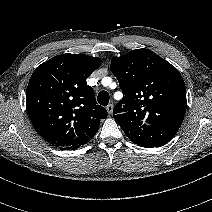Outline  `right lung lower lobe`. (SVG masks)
Segmentation results:
<instances>
[{"instance_id": "obj_1", "label": "right lung lower lobe", "mask_w": 212, "mask_h": 212, "mask_svg": "<svg viewBox=\"0 0 212 212\" xmlns=\"http://www.w3.org/2000/svg\"><path fill=\"white\" fill-rule=\"evenodd\" d=\"M80 146H82V145H73V146H67V147H60L59 149H61V150H69V149L74 150V149L79 148Z\"/></svg>"}]
</instances>
